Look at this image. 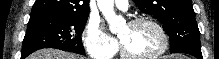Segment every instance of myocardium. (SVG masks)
<instances>
[{
    "mask_svg": "<svg viewBox=\"0 0 219 59\" xmlns=\"http://www.w3.org/2000/svg\"><path fill=\"white\" fill-rule=\"evenodd\" d=\"M141 24H148L151 25L160 35L161 38V46L158 48L157 51L146 55V56H137L134 54H131L123 45L121 41H119V49L121 56L125 59H157L160 56L164 55L169 47V37L163 26L157 22L156 20L152 18L147 17H140L136 18L129 22V26H137Z\"/></svg>",
    "mask_w": 219,
    "mask_h": 59,
    "instance_id": "1",
    "label": "myocardium"
}]
</instances>
